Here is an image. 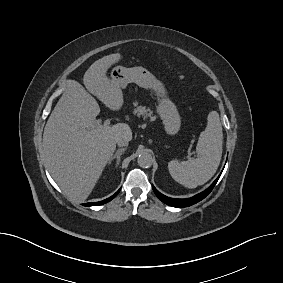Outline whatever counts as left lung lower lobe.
Instances as JSON below:
<instances>
[{"label":"left lung lower lobe","mask_w":283,"mask_h":283,"mask_svg":"<svg viewBox=\"0 0 283 283\" xmlns=\"http://www.w3.org/2000/svg\"><path fill=\"white\" fill-rule=\"evenodd\" d=\"M221 175V174H220ZM220 175L218 176V178L211 184V186L209 188H207L205 191L191 197L188 199H176V198H170L167 197L163 194H161L159 191L156 190V188L152 185L153 191L156 194V196L164 203H166L167 205L173 206V207H188L191 206L193 204L198 203L199 201H201L202 199H204L214 188L215 184L217 183Z\"/></svg>","instance_id":"1"}]
</instances>
